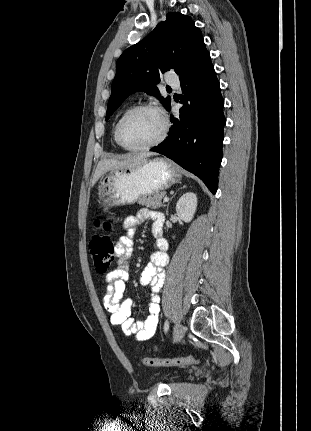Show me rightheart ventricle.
I'll return each instance as SVG.
<instances>
[{
    "mask_svg": "<svg viewBox=\"0 0 311 431\" xmlns=\"http://www.w3.org/2000/svg\"><path fill=\"white\" fill-rule=\"evenodd\" d=\"M132 107H134V105H133L132 103H127V104H125V105L121 108V110L119 111V113H118V115H117V117H116V119H115L114 125H113V132H112L113 140H114L115 144H116L117 146H119V147H122V146H121V144H120V142H119V140H118V138H117L116 125H117V122H118V120L120 119V117H121L125 112H127L129 109H131Z\"/></svg>",
    "mask_w": 311,
    "mask_h": 431,
    "instance_id": "obj_1",
    "label": "right heart ventricle"
}]
</instances>
